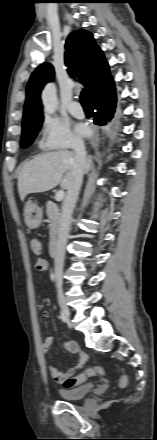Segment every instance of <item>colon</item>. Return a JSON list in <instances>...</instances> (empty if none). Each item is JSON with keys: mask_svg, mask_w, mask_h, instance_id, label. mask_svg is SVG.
Wrapping results in <instances>:
<instances>
[{"mask_svg": "<svg viewBox=\"0 0 157 440\" xmlns=\"http://www.w3.org/2000/svg\"><path fill=\"white\" fill-rule=\"evenodd\" d=\"M30 248L35 255L40 256L42 254V244L37 238H33L30 241ZM47 265V261L42 257H39L35 263V267L39 271L45 270ZM102 372V369L99 367L88 368L79 375L68 378L64 382V386L66 388H75L84 383L87 379L102 374ZM126 384L127 378L126 376H122L119 381V386L122 388L125 387Z\"/></svg>", "mask_w": 157, "mask_h": 440, "instance_id": "5ec220e1", "label": "colon"}]
</instances>
